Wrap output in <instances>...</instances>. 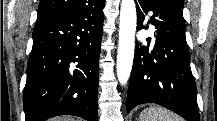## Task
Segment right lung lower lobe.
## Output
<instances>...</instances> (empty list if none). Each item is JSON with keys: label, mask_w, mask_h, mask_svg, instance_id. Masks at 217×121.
I'll use <instances>...</instances> for the list:
<instances>
[{"label": "right lung lower lobe", "mask_w": 217, "mask_h": 121, "mask_svg": "<svg viewBox=\"0 0 217 121\" xmlns=\"http://www.w3.org/2000/svg\"><path fill=\"white\" fill-rule=\"evenodd\" d=\"M105 0L38 18L23 94L25 121L75 115L97 121Z\"/></svg>", "instance_id": "right-lung-lower-lobe-1"}]
</instances>
